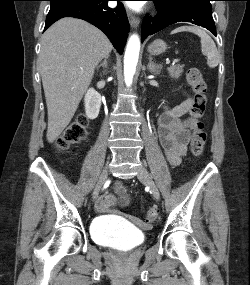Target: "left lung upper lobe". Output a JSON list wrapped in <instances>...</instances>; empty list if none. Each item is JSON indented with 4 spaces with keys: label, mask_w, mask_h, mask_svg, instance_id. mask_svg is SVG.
<instances>
[{
    "label": "left lung upper lobe",
    "mask_w": 250,
    "mask_h": 285,
    "mask_svg": "<svg viewBox=\"0 0 250 285\" xmlns=\"http://www.w3.org/2000/svg\"><path fill=\"white\" fill-rule=\"evenodd\" d=\"M211 0H157L165 11L174 10L187 4H196L211 9Z\"/></svg>",
    "instance_id": "5c2ea615"
}]
</instances>
